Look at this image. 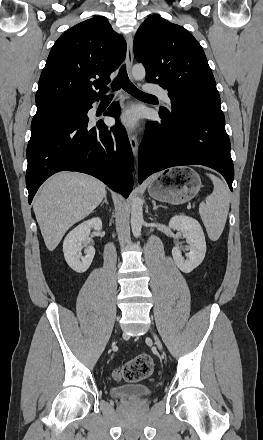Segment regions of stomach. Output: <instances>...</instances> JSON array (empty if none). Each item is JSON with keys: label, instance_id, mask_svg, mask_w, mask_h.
Masks as SVG:
<instances>
[{"label": "stomach", "instance_id": "stomach-1", "mask_svg": "<svg viewBox=\"0 0 263 440\" xmlns=\"http://www.w3.org/2000/svg\"><path fill=\"white\" fill-rule=\"evenodd\" d=\"M201 188V179L188 167L170 169L151 179L149 195L161 202L180 205L193 199Z\"/></svg>", "mask_w": 263, "mask_h": 440}]
</instances>
